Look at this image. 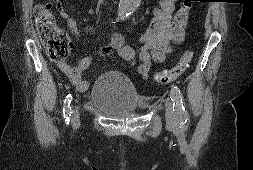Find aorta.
Segmentation results:
<instances>
[{
	"label": "aorta",
	"instance_id": "obj_1",
	"mask_svg": "<svg viewBox=\"0 0 253 170\" xmlns=\"http://www.w3.org/2000/svg\"><path fill=\"white\" fill-rule=\"evenodd\" d=\"M141 0H120L118 7V14L121 18H125L129 16L132 12H134Z\"/></svg>",
	"mask_w": 253,
	"mask_h": 170
}]
</instances>
